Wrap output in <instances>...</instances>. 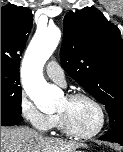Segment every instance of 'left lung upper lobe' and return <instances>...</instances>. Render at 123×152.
<instances>
[{"mask_svg":"<svg viewBox=\"0 0 123 152\" xmlns=\"http://www.w3.org/2000/svg\"><path fill=\"white\" fill-rule=\"evenodd\" d=\"M64 70L105 105L112 129L123 125V40L94 7L68 12L60 51Z\"/></svg>","mask_w":123,"mask_h":152,"instance_id":"1","label":"left lung upper lobe"}]
</instances>
